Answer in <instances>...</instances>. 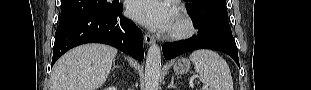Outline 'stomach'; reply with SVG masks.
Returning <instances> with one entry per match:
<instances>
[{
	"label": "stomach",
	"instance_id": "obj_1",
	"mask_svg": "<svg viewBox=\"0 0 311 90\" xmlns=\"http://www.w3.org/2000/svg\"><path fill=\"white\" fill-rule=\"evenodd\" d=\"M173 69L177 74H185L190 69V62L186 58H180L175 62Z\"/></svg>",
	"mask_w": 311,
	"mask_h": 90
}]
</instances>
